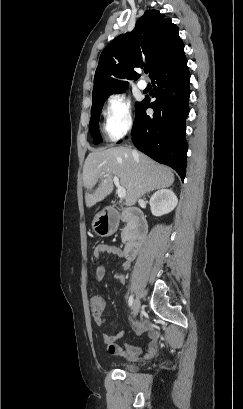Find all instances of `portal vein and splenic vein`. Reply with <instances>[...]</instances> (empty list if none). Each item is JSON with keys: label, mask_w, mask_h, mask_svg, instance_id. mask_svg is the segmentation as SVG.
I'll return each mask as SVG.
<instances>
[{"label": "portal vein and splenic vein", "mask_w": 243, "mask_h": 409, "mask_svg": "<svg viewBox=\"0 0 243 409\" xmlns=\"http://www.w3.org/2000/svg\"><path fill=\"white\" fill-rule=\"evenodd\" d=\"M113 182H114L115 186L117 187L118 197H119L120 199L125 198V197H126V190H125L124 187H122V186L120 185L119 178H118L117 176H114V177H113Z\"/></svg>", "instance_id": "1"}]
</instances>
